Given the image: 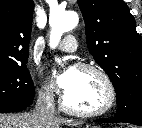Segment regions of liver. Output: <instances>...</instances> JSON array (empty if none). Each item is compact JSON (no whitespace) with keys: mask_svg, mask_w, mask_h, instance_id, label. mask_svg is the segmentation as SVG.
Segmentation results:
<instances>
[{"mask_svg":"<svg viewBox=\"0 0 142 128\" xmlns=\"http://www.w3.org/2000/svg\"><path fill=\"white\" fill-rule=\"evenodd\" d=\"M61 124L76 126L79 123L62 117L44 121L34 112L0 114V128H60Z\"/></svg>","mask_w":142,"mask_h":128,"instance_id":"6515ba94","label":"liver"}]
</instances>
